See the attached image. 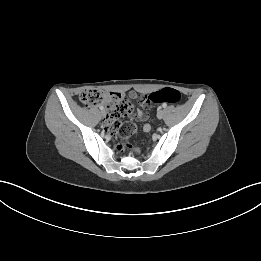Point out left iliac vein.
<instances>
[{
  "label": "left iliac vein",
  "instance_id": "left-iliac-vein-1",
  "mask_svg": "<svg viewBox=\"0 0 261 261\" xmlns=\"http://www.w3.org/2000/svg\"><path fill=\"white\" fill-rule=\"evenodd\" d=\"M163 116H164V111H163V110H159L158 113H157V117H158L159 119H162Z\"/></svg>",
  "mask_w": 261,
  "mask_h": 261
}]
</instances>
